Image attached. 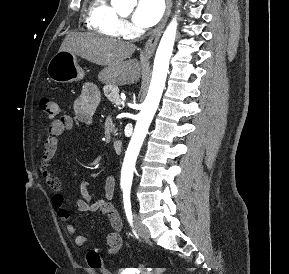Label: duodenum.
Instances as JSON below:
<instances>
[{
  "mask_svg": "<svg viewBox=\"0 0 289 274\" xmlns=\"http://www.w3.org/2000/svg\"><path fill=\"white\" fill-rule=\"evenodd\" d=\"M123 147V142L121 140H115L113 142V149L116 153H120Z\"/></svg>",
  "mask_w": 289,
  "mask_h": 274,
  "instance_id": "duodenum-1",
  "label": "duodenum"
}]
</instances>
